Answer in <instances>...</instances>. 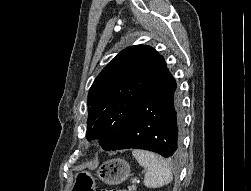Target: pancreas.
<instances>
[{"label":"pancreas","instance_id":"pancreas-1","mask_svg":"<svg viewBox=\"0 0 251 191\" xmlns=\"http://www.w3.org/2000/svg\"><path fill=\"white\" fill-rule=\"evenodd\" d=\"M135 187L132 185V187H129V189H124V191H134Z\"/></svg>","mask_w":251,"mask_h":191}]
</instances>
